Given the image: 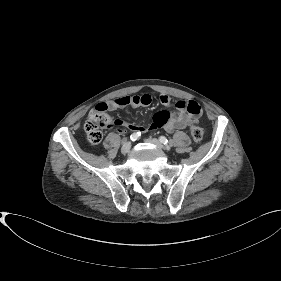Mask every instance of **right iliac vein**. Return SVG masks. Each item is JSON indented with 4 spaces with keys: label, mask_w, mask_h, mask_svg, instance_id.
I'll use <instances>...</instances> for the list:
<instances>
[{
    "label": "right iliac vein",
    "mask_w": 281,
    "mask_h": 281,
    "mask_svg": "<svg viewBox=\"0 0 281 281\" xmlns=\"http://www.w3.org/2000/svg\"><path fill=\"white\" fill-rule=\"evenodd\" d=\"M131 148V142H125L121 147L122 154H127Z\"/></svg>",
    "instance_id": "obj_1"
}]
</instances>
